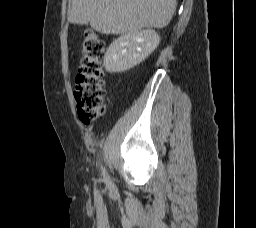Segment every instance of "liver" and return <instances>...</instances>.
I'll return each instance as SVG.
<instances>
[{
  "mask_svg": "<svg viewBox=\"0 0 256 228\" xmlns=\"http://www.w3.org/2000/svg\"><path fill=\"white\" fill-rule=\"evenodd\" d=\"M68 21L90 26L101 34H127L146 27H166L176 0H70Z\"/></svg>",
  "mask_w": 256,
  "mask_h": 228,
  "instance_id": "1",
  "label": "liver"
}]
</instances>
